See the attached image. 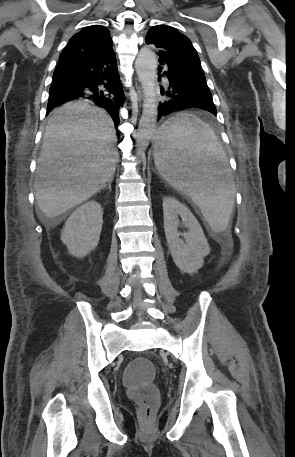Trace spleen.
Masks as SVG:
<instances>
[{
  "mask_svg": "<svg viewBox=\"0 0 295 457\" xmlns=\"http://www.w3.org/2000/svg\"><path fill=\"white\" fill-rule=\"evenodd\" d=\"M154 162L172 187L199 206L214 232L227 229L235 183L215 133L201 119L182 112L159 129Z\"/></svg>",
  "mask_w": 295,
  "mask_h": 457,
  "instance_id": "3e777b00",
  "label": "spleen"
}]
</instances>
